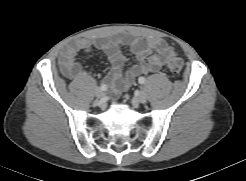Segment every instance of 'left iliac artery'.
Segmentation results:
<instances>
[{
    "mask_svg": "<svg viewBox=\"0 0 246 181\" xmlns=\"http://www.w3.org/2000/svg\"><path fill=\"white\" fill-rule=\"evenodd\" d=\"M138 82H139L140 84H145L146 78L143 77V76H141V77L138 78Z\"/></svg>",
    "mask_w": 246,
    "mask_h": 181,
    "instance_id": "obj_1",
    "label": "left iliac artery"
}]
</instances>
